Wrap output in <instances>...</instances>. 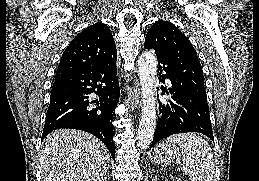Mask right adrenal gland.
Segmentation results:
<instances>
[{"instance_id": "obj_1", "label": "right adrenal gland", "mask_w": 259, "mask_h": 181, "mask_svg": "<svg viewBox=\"0 0 259 181\" xmlns=\"http://www.w3.org/2000/svg\"><path fill=\"white\" fill-rule=\"evenodd\" d=\"M107 179H108V176H106L105 178H103L102 181H107Z\"/></svg>"}]
</instances>
